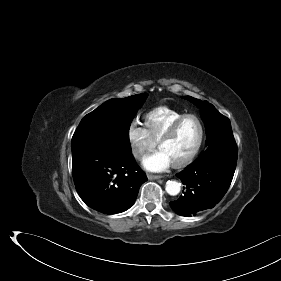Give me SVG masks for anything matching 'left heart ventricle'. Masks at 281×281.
Wrapping results in <instances>:
<instances>
[{
    "mask_svg": "<svg viewBox=\"0 0 281 281\" xmlns=\"http://www.w3.org/2000/svg\"><path fill=\"white\" fill-rule=\"evenodd\" d=\"M200 129L194 118L185 119L173 137L161 146V150L170 158L172 163L185 158L196 146Z\"/></svg>",
    "mask_w": 281,
    "mask_h": 281,
    "instance_id": "b2bd125f",
    "label": "left heart ventricle"
}]
</instances>
